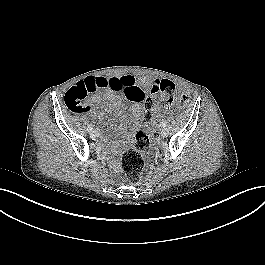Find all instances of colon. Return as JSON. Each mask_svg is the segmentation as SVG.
Wrapping results in <instances>:
<instances>
[{
  "label": "colon",
  "mask_w": 265,
  "mask_h": 265,
  "mask_svg": "<svg viewBox=\"0 0 265 265\" xmlns=\"http://www.w3.org/2000/svg\"><path fill=\"white\" fill-rule=\"evenodd\" d=\"M98 89V85L91 79L77 83L64 96L67 108L74 113L84 111V101L89 93ZM153 97H148L143 104V122L150 125L154 122L157 111L171 105L174 101L186 103L188 97L179 93L175 84L167 79L158 80L152 88ZM154 135L148 128L141 129L135 136L133 148L123 153L121 157L122 169L131 182H138L144 168L143 153H147L153 145Z\"/></svg>",
  "instance_id": "obj_1"
}]
</instances>
